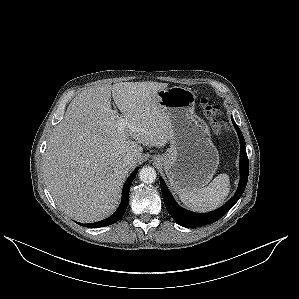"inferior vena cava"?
I'll use <instances>...</instances> for the list:
<instances>
[{
  "label": "inferior vena cava",
  "mask_w": 299,
  "mask_h": 299,
  "mask_svg": "<svg viewBox=\"0 0 299 299\" xmlns=\"http://www.w3.org/2000/svg\"><path fill=\"white\" fill-rule=\"evenodd\" d=\"M133 162V157L131 155H126L123 159V165L128 166Z\"/></svg>",
  "instance_id": "602c4592"
}]
</instances>
